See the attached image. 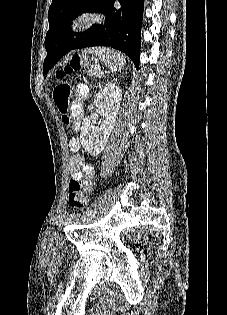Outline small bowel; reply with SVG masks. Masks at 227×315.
<instances>
[{
	"label": "small bowel",
	"mask_w": 227,
	"mask_h": 315,
	"mask_svg": "<svg viewBox=\"0 0 227 315\" xmlns=\"http://www.w3.org/2000/svg\"><path fill=\"white\" fill-rule=\"evenodd\" d=\"M88 93V88L85 85L81 84L77 86L72 107L78 113V117L81 115V102L88 96ZM73 129H79L77 122L73 125ZM69 148L72 151L69 163L71 177L72 179H83L84 189L87 192H91L94 187V168L85 162L80 150V142L77 138L74 137L70 139Z\"/></svg>",
	"instance_id": "obj_1"
}]
</instances>
